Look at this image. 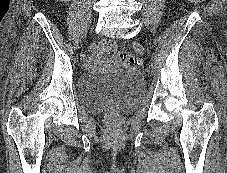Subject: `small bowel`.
I'll list each match as a JSON object with an SVG mask.
<instances>
[{"instance_id":"small-bowel-1","label":"small bowel","mask_w":227,"mask_h":173,"mask_svg":"<svg viewBox=\"0 0 227 173\" xmlns=\"http://www.w3.org/2000/svg\"><path fill=\"white\" fill-rule=\"evenodd\" d=\"M103 49H104V45L102 44V45L100 46L99 50L97 51L95 57H94V60H95V61H98V60H99V58H100V56H101V54H102Z\"/></svg>"}]
</instances>
